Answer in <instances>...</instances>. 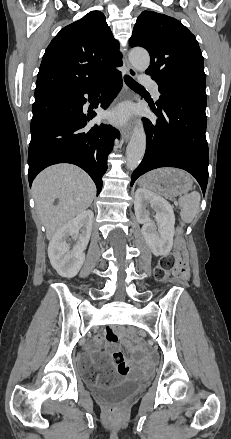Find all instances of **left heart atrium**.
Segmentation results:
<instances>
[{
	"mask_svg": "<svg viewBox=\"0 0 231 439\" xmlns=\"http://www.w3.org/2000/svg\"><path fill=\"white\" fill-rule=\"evenodd\" d=\"M128 112L125 108H118L107 114V118L116 123H122L127 119Z\"/></svg>",
	"mask_w": 231,
	"mask_h": 439,
	"instance_id": "obj_1",
	"label": "left heart atrium"
}]
</instances>
